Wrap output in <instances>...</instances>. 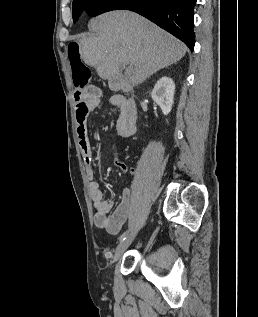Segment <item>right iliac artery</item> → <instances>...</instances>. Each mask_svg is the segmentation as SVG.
I'll use <instances>...</instances> for the list:
<instances>
[{
  "label": "right iliac artery",
  "mask_w": 258,
  "mask_h": 317,
  "mask_svg": "<svg viewBox=\"0 0 258 317\" xmlns=\"http://www.w3.org/2000/svg\"><path fill=\"white\" fill-rule=\"evenodd\" d=\"M127 234H128V231H125V232L120 236L119 241H120V242H123V241L126 239Z\"/></svg>",
  "instance_id": "right-iliac-artery-1"
}]
</instances>
